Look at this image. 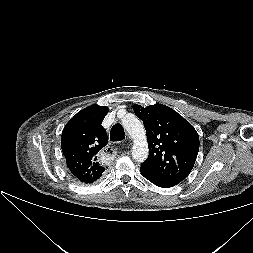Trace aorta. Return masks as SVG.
Wrapping results in <instances>:
<instances>
[{
  "label": "aorta",
  "instance_id": "obj_1",
  "mask_svg": "<svg viewBox=\"0 0 253 253\" xmlns=\"http://www.w3.org/2000/svg\"><path fill=\"white\" fill-rule=\"evenodd\" d=\"M122 126L133 139L132 156L138 162L148 157V143L145 128L141 121L133 114H126L122 119Z\"/></svg>",
  "mask_w": 253,
  "mask_h": 253
}]
</instances>
